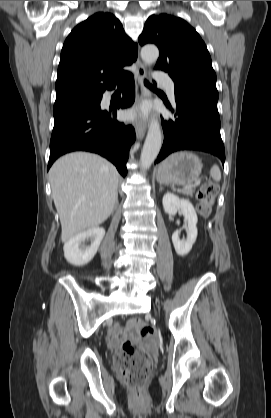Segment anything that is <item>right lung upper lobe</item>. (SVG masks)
Masks as SVG:
<instances>
[{"label":"right lung upper lobe","instance_id":"obj_1","mask_svg":"<svg viewBox=\"0 0 271 418\" xmlns=\"http://www.w3.org/2000/svg\"><path fill=\"white\" fill-rule=\"evenodd\" d=\"M137 58V45L111 13L98 12L78 24L64 42L55 103L100 97L128 72Z\"/></svg>","mask_w":271,"mask_h":418}]
</instances>
